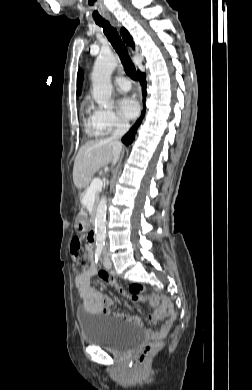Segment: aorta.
Masks as SVG:
<instances>
[{
	"label": "aorta",
	"mask_w": 252,
	"mask_h": 390,
	"mask_svg": "<svg viewBox=\"0 0 252 390\" xmlns=\"http://www.w3.org/2000/svg\"><path fill=\"white\" fill-rule=\"evenodd\" d=\"M117 66V58L114 55H100L94 64L92 71L93 98L103 108L112 106L111 74ZM106 211L107 199L103 196L98 204L95 218L96 242L105 243L106 239Z\"/></svg>",
	"instance_id": "aorta-1"
}]
</instances>
